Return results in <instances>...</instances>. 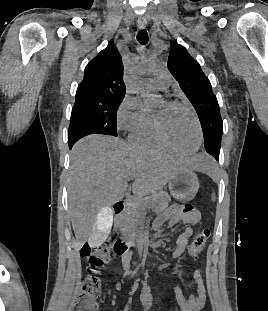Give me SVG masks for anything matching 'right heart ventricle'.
<instances>
[{
	"mask_svg": "<svg viewBox=\"0 0 268 311\" xmlns=\"http://www.w3.org/2000/svg\"><path fill=\"white\" fill-rule=\"evenodd\" d=\"M130 141L141 148L150 150H165L166 147L159 140L156 130L153 115H149L147 122L140 128L131 132Z\"/></svg>",
	"mask_w": 268,
	"mask_h": 311,
	"instance_id": "1",
	"label": "right heart ventricle"
}]
</instances>
